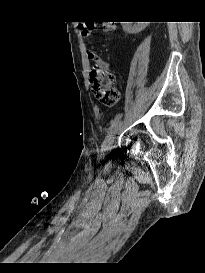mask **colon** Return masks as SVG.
I'll list each match as a JSON object with an SVG mask.
<instances>
[{"instance_id": "obj_1", "label": "colon", "mask_w": 205, "mask_h": 273, "mask_svg": "<svg viewBox=\"0 0 205 273\" xmlns=\"http://www.w3.org/2000/svg\"><path fill=\"white\" fill-rule=\"evenodd\" d=\"M112 20H105L102 26L105 30H110L113 26ZM92 29L91 25L84 24L83 32L89 33ZM89 57L93 62L90 72V89L93 97L102 105L111 106L119 99V92L115 86L116 79L110 72L107 63L95 51L89 53Z\"/></svg>"}]
</instances>
